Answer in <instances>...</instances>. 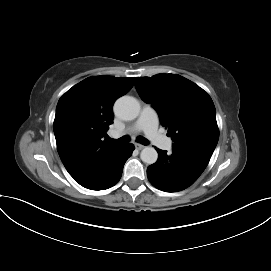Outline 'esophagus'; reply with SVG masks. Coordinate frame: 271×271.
<instances>
[{
    "instance_id": "34e87169",
    "label": "esophagus",
    "mask_w": 271,
    "mask_h": 271,
    "mask_svg": "<svg viewBox=\"0 0 271 271\" xmlns=\"http://www.w3.org/2000/svg\"><path fill=\"white\" fill-rule=\"evenodd\" d=\"M135 147H136V149H138V150H142V149H144V148H145V146H144V145L139 144V143H136V144H135Z\"/></svg>"
}]
</instances>
